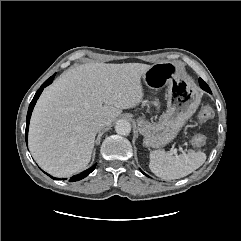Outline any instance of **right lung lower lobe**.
<instances>
[{
  "label": "right lung lower lobe",
  "instance_id": "98d812e1",
  "mask_svg": "<svg viewBox=\"0 0 241 241\" xmlns=\"http://www.w3.org/2000/svg\"><path fill=\"white\" fill-rule=\"evenodd\" d=\"M55 74L53 76H51L49 79H47L40 87V89L36 92L33 100L31 101L29 108H28V113H27V118H26V132H25V138H26V143H27V138H28V128H29V121H30V117L33 111V108L35 106V103L37 101V99L39 98L40 94L42 93L43 89L48 86L49 84H51V82L53 81ZM95 165H93L91 168L85 170L84 172H82L81 174L77 175V176H73L72 178H70V182H74V181H78L83 179L84 177H86L87 175H89L94 169H95ZM56 179V178H54Z\"/></svg>",
  "mask_w": 241,
  "mask_h": 241
}]
</instances>
